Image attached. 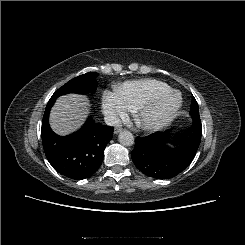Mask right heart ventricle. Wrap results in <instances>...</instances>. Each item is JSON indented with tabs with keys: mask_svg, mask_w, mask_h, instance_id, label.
Returning <instances> with one entry per match:
<instances>
[{
	"mask_svg": "<svg viewBox=\"0 0 245 245\" xmlns=\"http://www.w3.org/2000/svg\"><path fill=\"white\" fill-rule=\"evenodd\" d=\"M170 90L167 83L157 79L128 81L116 87V92L131 110L147 99Z\"/></svg>",
	"mask_w": 245,
	"mask_h": 245,
	"instance_id": "right-heart-ventricle-1",
	"label": "right heart ventricle"
}]
</instances>
